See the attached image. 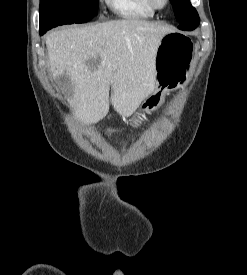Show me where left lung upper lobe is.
<instances>
[{
	"label": "left lung upper lobe",
	"instance_id": "5c2ea615",
	"mask_svg": "<svg viewBox=\"0 0 247 275\" xmlns=\"http://www.w3.org/2000/svg\"><path fill=\"white\" fill-rule=\"evenodd\" d=\"M173 4V10L178 28L185 31H192L199 25V16L196 9L190 4L189 0H170Z\"/></svg>",
	"mask_w": 247,
	"mask_h": 275
}]
</instances>
